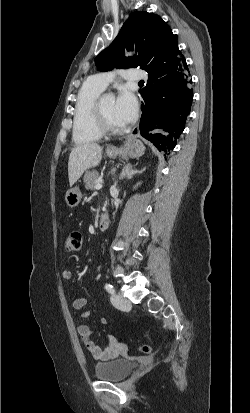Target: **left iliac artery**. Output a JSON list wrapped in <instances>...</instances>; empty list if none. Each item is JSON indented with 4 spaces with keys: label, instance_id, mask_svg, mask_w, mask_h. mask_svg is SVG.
Listing matches in <instances>:
<instances>
[{
    "label": "left iliac artery",
    "instance_id": "44dca946",
    "mask_svg": "<svg viewBox=\"0 0 250 413\" xmlns=\"http://www.w3.org/2000/svg\"><path fill=\"white\" fill-rule=\"evenodd\" d=\"M105 289H106L110 294H114V293H115V290H114L113 286H112L111 284H109V283H106V284H105Z\"/></svg>",
    "mask_w": 250,
    "mask_h": 413
}]
</instances>
